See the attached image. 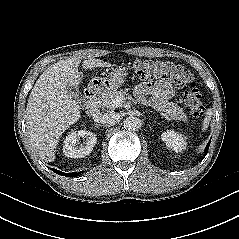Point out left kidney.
Listing matches in <instances>:
<instances>
[{
    "instance_id": "obj_1",
    "label": "left kidney",
    "mask_w": 239,
    "mask_h": 239,
    "mask_svg": "<svg viewBox=\"0 0 239 239\" xmlns=\"http://www.w3.org/2000/svg\"><path fill=\"white\" fill-rule=\"evenodd\" d=\"M161 136L166 146L175 152H182L186 147V142L182 135L173 130H168L162 133Z\"/></svg>"
}]
</instances>
